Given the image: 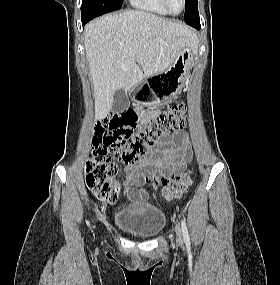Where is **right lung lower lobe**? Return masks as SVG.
Listing matches in <instances>:
<instances>
[{"label": "right lung lower lobe", "instance_id": "98d812e1", "mask_svg": "<svg viewBox=\"0 0 280 285\" xmlns=\"http://www.w3.org/2000/svg\"><path fill=\"white\" fill-rule=\"evenodd\" d=\"M81 21L83 25H85L88 22V20H84V19H81Z\"/></svg>", "mask_w": 280, "mask_h": 285}]
</instances>
